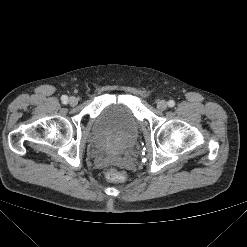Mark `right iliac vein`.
Masks as SVG:
<instances>
[{"mask_svg": "<svg viewBox=\"0 0 247 247\" xmlns=\"http://www.w3.org/2000/svg\"><path fill=\"white\" fill-rule=\"evenodd\" d=\"M68 102L71 106H75L78 103V99L76 97L72 96L69 98Z\"/></svg>", "mask_w": 247, "mask_h": 247, "instance_id": "obj_1", "label": "right iliac vein"}]
</instances>
